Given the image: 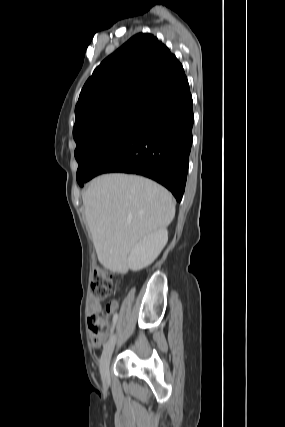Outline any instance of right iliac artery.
<instances>
[{
  "mask_svg": "<svg viewBox=\"0 0 285 427\" xmlns=\"http://www.w3.org/2000/svg\"><path fill=\"white\" fill-rule=\"evenodd\" d=\"M115 319H114V322L116 321V319H117V315L114 317ZM114 327H115V324H113V326H112V328H111V334L113 333V331H114Z\"/></svg>",
  "mask_w": 285,
  "mask_h": 427,
  "instance_id": "1",
  "label": "right iliac artery"
}]
</instances>
